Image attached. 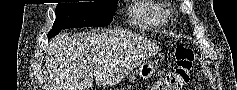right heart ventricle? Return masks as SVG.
<instances>
[{
  "mask_svg": "<svg viewBox=\"0 0 237 90\" xmlns=\"http://www.w3.org/2000/svg\"><path fill=\"white\" fill-rule=\"evenodd\" d=\"M157 0H139V2H156ZM131 15L129 19H132V23L138 29H155L165 25L166 19L160 14H153V10H167V7L163 6H144V7H131Z\"/></svg>",
  "mask_w": 237,
  "mask_h": 90,
  "instance_id": "e07e8e85",
  "label": "right heart ventricle"
}]
</instances>
